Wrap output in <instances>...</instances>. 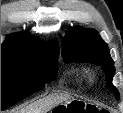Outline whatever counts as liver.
Wrapping results in <instances>:
<instances>
[{"label":"liver","instance_id":"1","mask_svg":"<svg viewBox=\"0 0 123 113\" xmlns=\"http://www.w3.org/2000/svg\"><path fill=\"white\" fill-rule=\"evenodd\" d=\"M67 99L68 97L66 96H50L22 109L20 113H47L51 108Z\"/></svg>","mask_w":123,"mask_h":113}]
</instances>
